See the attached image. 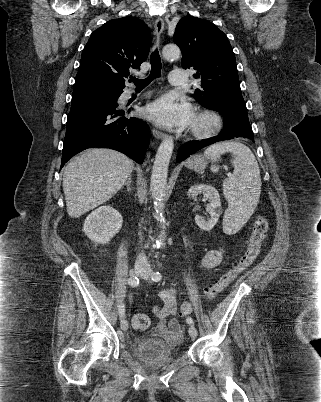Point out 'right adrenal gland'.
Segmentation results:
<instances>
[{
  "label": "right adrenal gland",
  "mask_w": 321,
  "mask_h": 402,
  "mask_svg": "<svg viewBox=\"0 0 321 402\" xmlns=\"http://www.w3.org/2000/svg\"><path fill=\"white\" fill-rule=\"evenodd\" d=\"M131 183H132V178L128 177L127 181L123 184L122 188H124V186H127V190L131 191L132 190Z\"/></svg>",
  "instance_id": "right-adrenal-gland-1"
}]
</instances>
